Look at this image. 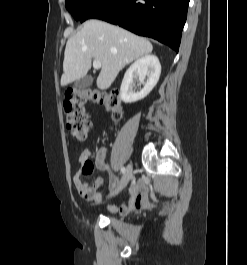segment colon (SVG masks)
Masks as SVG:
<instances>
[{"label": "colon", "instance_id": "obj_1", "mask_svg": "<svg viewBox=\"0 0 247 265\" xmlns=\"http://www.w3.org/2000/svg\"><path fill=\"white\" fill-rule=\"evenodd\" d=\"M89 101L96 102L108 111L116 121L123 115V107L118 92L114 90L100 91L94 89H73L66 93L64 110L66 112V125L72 136L80 143L85 142L90 134L91 121L87 113ZM93 164L88 163L86 173L93 172Z\"/></svg>", "mask_w": 247, "mask_h": 265}]
</instances>
